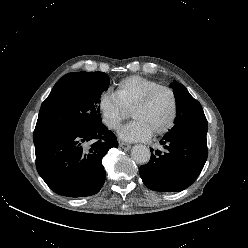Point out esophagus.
Returning a JSON list of instances; mask_svg holds the SVG:
<instances>
[{"label": "esophagus", "instance_id": "obj_1", "mask_svg": "<svg viewBox=\"0 0 248 248\" xmlns=\"http://www.w3.org/2000/svg\"><path fill=\"white\" fill-rule=\"evenodd\" d=\"M119 146L124 150H129L131 148V145L125 142H119Z\"/></svg>", "mask_w": 248, "mask_h": 248}]
</instances>
